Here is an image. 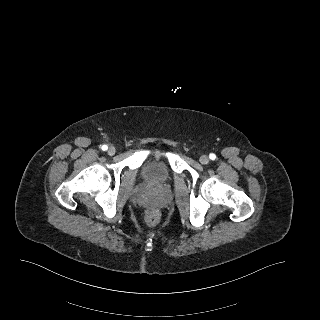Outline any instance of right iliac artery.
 Here are the masks:
<instances>
[{"label":"right iliac artery","instance_id":"1","mask_svg":"<svg viewBox=\"0 0 320 320\" xmlns=\"http://www.w3.org/2000/svg\"><path fill=\"white\" fill-rule=\"evenodd\" d=\"M101 149H102L103 151H106V150L108 149V146H107V145H103V146L101 147Z\"/></svg>","mask_w":320,"mask_h":320}]
</instances>
